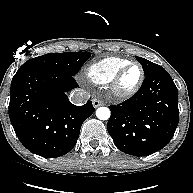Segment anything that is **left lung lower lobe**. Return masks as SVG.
Here are the masks:
<instances>
[{
	"label": "left lung lower lobe",
	"mask_w": 193,
	"mask_h": 193,
	"mask_svg": "<svg viewBox=\"0 0 193 193\" xmlns=\"http://www.w3.org/2000/svg\"><path fill=\"white\" fill-rule=\"evenodd\" d=\"M107 129L121 151L151 155L173 137L179 121L178 89L161 66L148 73L138 92L119 105L109 106Z\"/></svg>",
	"instance_id": "obj_1"
}]
</instances>
